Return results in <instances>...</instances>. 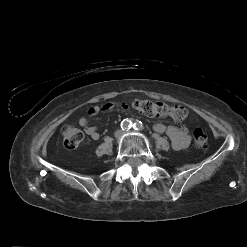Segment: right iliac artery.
I'll return each mask as SVG.
<instances>
[{"mask_svg": "<svg viewBox=\"0 0 247 247\" xmlns=\"http://www.w3.org/2000/svg\"><path fill=\"white\" fill-rule=\"evenodd\" d=\"M131 127H132V121L131 120L124 119L121 122V128H122V130H127L128 131Z\"/></svg>", "mask_w": 247, "mask_h": 247, "instance_id": "right-iliac-artery-1", "label": "right iliac artery"}]
</instances>
